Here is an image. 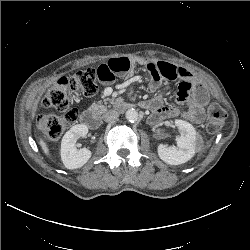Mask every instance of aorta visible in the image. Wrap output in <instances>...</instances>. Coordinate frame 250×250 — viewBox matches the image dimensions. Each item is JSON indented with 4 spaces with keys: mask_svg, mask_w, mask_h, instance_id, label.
I'll return each mask as SVG.
<instances>
[{
    "mask_svg": "<svg viewBox=\"0 0 250 250\" xmlns=\"http://www.w3.org/2000/svg\"><path fill=\"white\" fill-rule=\"evenodd\" d=\"M125 116L129 122H136L139 117L138 112L135 109H128Z\"/></svg>",
    "mask_w": 250,
    "mask_h": 250,
    "instance_id": "762f6f07",
    "label": "aorta"
}]
</instances>
